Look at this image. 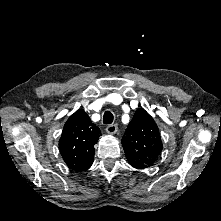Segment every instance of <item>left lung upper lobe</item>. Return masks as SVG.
Here are the masks:
<instances>
[{
    "mask_svg": "<svg viewBox=\"0 0 221 221\" xmlns=\"http://www.w3.org/2000/svg\"><path fill=\"white\" fill-rule=\"evenodd\" d=\"M122 145L128 162L137 169H144L156 161L162 151L159 129L154 119L143 109L135 112L129 123Z\"/></svg>",
    "mask_w": 221,
    "mask_h": 221,
    "instance_id": "1",
    "label": "left lung upper lobe"
}]
</instances>
